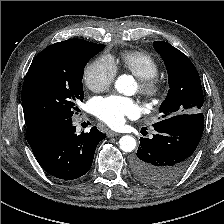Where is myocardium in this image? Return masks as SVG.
<instances>
[{"label": "myocardium", "instance_id": "1", "mask_svg": "<svg viewBox=\"0 0 224 224\" xmlns=\"http://www.w3.org/2000/svg\"><path fill=\"white\" fill-rule=\"evenodd\" d=\"M138 87L146 102L151 105L159 103L166 93L165 82L157 76L139 79Z\"/></svg>", "mask_w": 224, "mask_h": 224}]
</instances>
